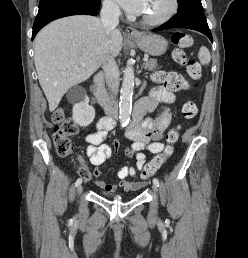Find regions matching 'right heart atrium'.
<instances>
[{
    "label": "right heart atrium",
    "mask_w": 248,
    "mask_h": 258,
    "mask_svg": "<svg viewBox=\"0 0 248 258\" xmlns=\"http://www.w3.org/2000/svg\"><path fill=\"white\" fill-rule=\"evenodd\" d=\"M104 7L107 12L111 14H118L119 13V7L116 4L115 0H104Z\"/></svg>",
    "instance_id": "d8ad5b80"
}]
</instances>
